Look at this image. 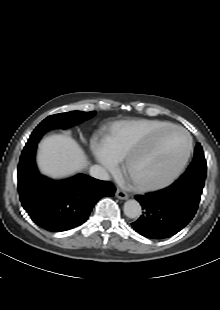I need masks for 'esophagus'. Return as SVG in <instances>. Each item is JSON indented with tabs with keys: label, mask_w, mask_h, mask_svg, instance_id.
<instances>
[{
	"label": "esophagus",
	"mask_w": 220,
	"mask_h": 310,
	"mask_svg": "<svg viewBox=\"0 0 220 310\" xmlns=\"http://www.w3.org/2000/svg\"><path fill=\"white\" fill-rule=\"evenodd\" d=\"M115 195L117 198L122 199V200H126L129 197V195L125 191L120 190V189L116 190Z\"/></svg>",
	"instance_id": "34e87169"
}]
</instances>
